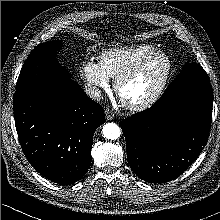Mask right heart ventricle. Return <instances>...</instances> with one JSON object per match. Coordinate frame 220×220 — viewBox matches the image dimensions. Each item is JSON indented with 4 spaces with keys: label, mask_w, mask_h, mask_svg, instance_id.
Returning a JSON list of instances; mask_svg holds the SVG:
<instances>
[{
    "label": "right heart ventricle",
    "mask_w": 220,
    "mask_h": 220,
    "mask_svg": "<svg viewBox=\"0 0 220 220\" xmlns=\"http://www.w3.org/2000/svg\"><path fill=\"white\" fill-rule=\"evenodd\" d=\"M156 50L150 44H132L105 49L99 57V64L109 78L116 79L143 56Z\"/></svg>",
    "instance_id": "right-heart-ventricle-1"
}]
</instances>
